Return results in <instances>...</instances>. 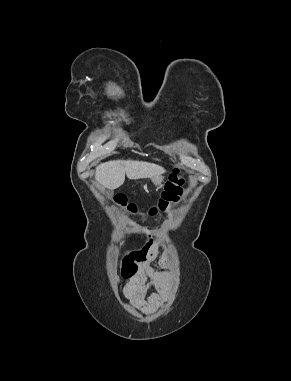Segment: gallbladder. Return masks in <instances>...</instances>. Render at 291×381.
Here are the masks:
<instances>
[{
	"instance_id": "1",
	"label": "gallbladder",
	"mask_w": 291,
	"mask_h": 381,
	"mask_svg": "<svg viewBox=\"0 0 291 381\" xmlns=\"http://www.w3.org/2000/svg\"><path fill=\"white\" fill-rule=\"evenodd\" d=\"M107 194H108V196H112V195H113V191L108 190V191H107Z\"/></svg>"
}]
</instances>
